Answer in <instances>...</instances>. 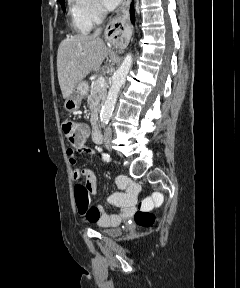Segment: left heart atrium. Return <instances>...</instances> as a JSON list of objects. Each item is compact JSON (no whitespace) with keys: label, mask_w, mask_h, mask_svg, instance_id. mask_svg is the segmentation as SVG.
I'll return each mask as SVG.
<instances>
[{"label":"left heart atrium","mask_w":240,"mask_h":288,"mask_svg":"<svg viewBox=\"0 0 240 288\" xmlns=\"http://www.w3.org/2000/svg\"><path fill=\"white\" fill-rule=\"evenodd\" d=\"M102 1L108 9H113L120 3L121 0H102Z\"/></svg>","instance_id":"39dd6f15"}]
</instances>
